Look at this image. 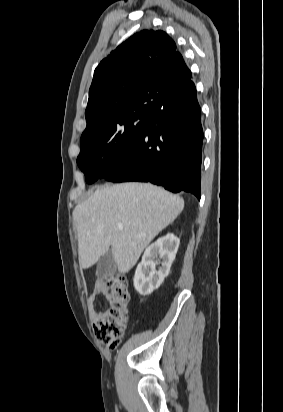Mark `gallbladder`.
Wrapping results in <instances>:
<instances>
[{
  "instance_id": "bac80fb5",
  "label": "gallbladder",
  "mask_w": 283,
  "mask_h": 412,
  "mask_svg": "<svg viewBox=\"0 0 283 412\" xmlns=\"http://www.w3.org/2000/svg\"><path fill=\"white\" fill-rule=\"evenodd\" d=\"M116 264L111 250H108L99 260L96 275L99 279H105L106 277L115 273Z\"/></svg>"
}]
</instances>
